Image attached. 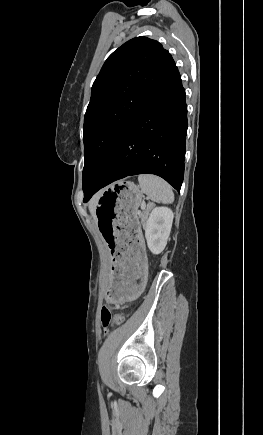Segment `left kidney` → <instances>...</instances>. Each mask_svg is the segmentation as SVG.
<instances>
[{"mask_svg":"<svg viewBox=\"0 0 263 435\" xmlns=\"http://www.w3.org/2000/svg\"><path fill=\"white\" fill-rule=\"evenodd\" d=\"M174 214L170 208L155 207L147 220L145 237L149 250L153 254H160L170 235Z\"/></svg>","mask_w":263,"mask_h":435,"instance_id":"obj_1","label":"left kidney"}]
</instances>
